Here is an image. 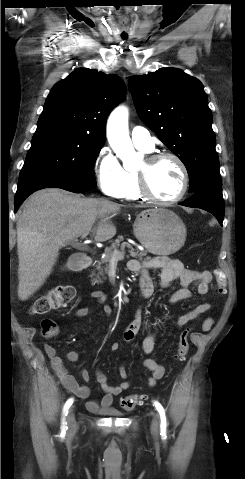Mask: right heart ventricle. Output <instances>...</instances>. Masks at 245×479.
Instances as JSON below:
<instances>
[{"mask_svg": "<svg viewBox=\"0 0 245 479\" xmlns=\"http://www.w3.org/2000/svg\"><path fill=\"white\" fill-rule=\"evenodd\" d=\"M119 198L127 200L143 199L138 190L137 172L125 171V184Z\"/></svg>", "mask_w": 245, "mask_h": 479, "instance_id": "1", "label": "right heart ventricle"}]
</instances>
